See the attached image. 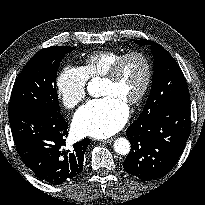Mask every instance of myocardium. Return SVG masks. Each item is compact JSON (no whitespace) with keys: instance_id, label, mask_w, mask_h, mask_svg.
Listing matches in <instances>:
<instances>
[{"instance_id":"f54148a6","label":"myocardium","mask_w":205,"mask_h":205,"mask_svg":"<svg viewBox=\"0 0 205 205\" xmlns=\"http://www.w3.org/2000/svg\"><path fill=\"white\" fill-rule=\"evenodd\" d=\"M132 57L139 58L144 62L146 74L140 92L136 95V97H134L127 103L129 106L139 104L144 99L150 88L153 75L152 63L150 58L146 54L139 51L125 53L113 64L109 71L104 76H102L104 80L111 82L115 81L118 78L124 63Z\"/></svg>"}]
</instances>
